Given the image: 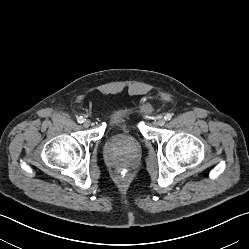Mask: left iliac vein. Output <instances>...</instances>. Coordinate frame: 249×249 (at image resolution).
Listing matches in <instances>:
<instances>
[{
  "mask_svg": "<svg viewBox=\"0 0 249 249\" xmlns=\"http://www.w3.org/2000/svg\"><path fill=\"white\" fill-rule=\"evenodd\" d=\"M157 125L163 126L165 124V119L163 117H160L156 121Z\"/></svg>",
  "mask_w": 249,
  "mask_h": 249,
  "instance_id": "1",
  "label": "left iliac vein"
}]
</instances>
